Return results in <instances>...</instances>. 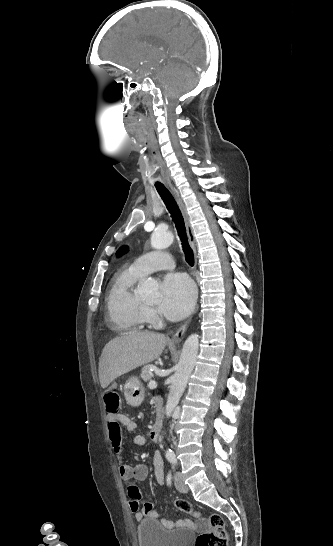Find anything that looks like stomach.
I'll return each mask as SVG.
<instances>
[{
	"label": "stomach",
	"mask_w": 333,
	"mask_h": 546,
	"mask_svg": "<svg viewBox=\"0 0 333 546\" xmlns=\"http://www.w3.org/2000/svg\"><path fill=\"white\" fill-rule=\"evenodd\" d=\"M124 395L128 404L138 406L144 398V388L136 377L128 379L124 385Z\"/></svg>",
	"instance_id": "0dacf381"
}]
</instances>
